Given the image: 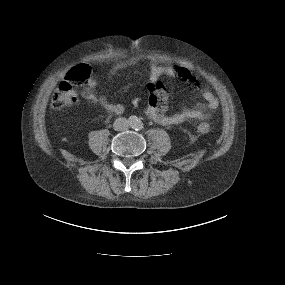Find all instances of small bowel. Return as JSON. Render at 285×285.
I'll return each mask as SVG.
<instances>
[{
  "label": "small bowel",
  "instance_id": "1",
  "mask_svg": "<svg viewBox=\"0 0 285 285\" xmlns=\"http://www.w3.org/2000/svg\"><path fill=\"white\" fill-rule=\"evenodd\" d=\"M135 58H128L115 63L111 67V73H117L125 67L135 64ZM181 68L189 72L184 67H176L173 65H159L153 64L151 66V82L149 88L151 93L148 99V106L146 108V115L154 122L161 125H177L186 120H204L208 118V113L218 108V100L214 94L208 89L201 90L204 103L192 108H186L173 114H168V94L163 86L158 81L161 75H177V69ZM190 73V72H189ZM191 74V73H190ZM179 76V75H178ZM182 80L188 82L193 87H198L193 76H179ZM97 84L95 81H90L83 89L82 96L87 101L97 104L107 111L120 114L124 111V106L120 103L110 102L105 97L99 96L96 93Z\"/></svg>",
  "mask_w": 285,
  "mask_h": 285
}]
</instances>
